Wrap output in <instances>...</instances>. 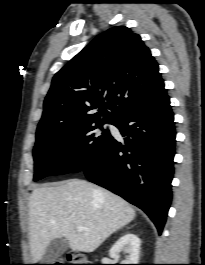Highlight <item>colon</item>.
Returning a JSON list of instances; mask_svg holds the SVG:
<instances>
[{"label":"colon","mask_w":205,"mask_h":265,"mask_svg":"<svg viewBox=\"0 0 205 265\" xmlns=\"http://www.w3.org/2000/svg\"><path fill=\"white\" fill-rule=\"evenodd\" d=\"M64 263H70V264H64ZM87 263H89V261H88V258L84 254L75 253V254H72L67 260L61 259L55 262V264H50V265H92V264H87Z\"/></svg>","instance_id":"colon-1"}]
</instances>
